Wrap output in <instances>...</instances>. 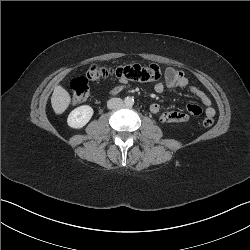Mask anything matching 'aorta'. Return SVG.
Segmentation results:
<instances>
[{"label":"aorta","mask_w":250,"mask_h":250,"mask_svg":"<svg viewBox=\"0 0 250 250\" xmlns=\"http://www.w3.org/2000/svg\"><path fill=\"white\" fill-rule=\"evenodd\" d=\"M124 103L127 107H132L134 105V99L132 97H126Z\"/></svg>","instance_id":"obj_1"}]
</instances>
